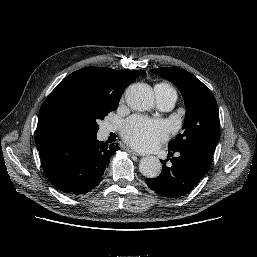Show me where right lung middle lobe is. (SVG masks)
Instances as JSON below:
<instances>
[{
  "mask_svg": "<svg viewBox=\"0 0 257 257\" xmlns=\"http://www.w3.org/2000/svg\"><path fill=\"white\" fill-rule=\"evenodd\" d=\"M119 100L96 95L89 91L77 92L70 101L72 118L78 135H96L98 120L117 109Z\"/></svg>",
  "mask_w": 257,
  "mask_h": 257,
  "instance_id": "1",
  "label": "right lung middle lobe"
}]
</instances>
